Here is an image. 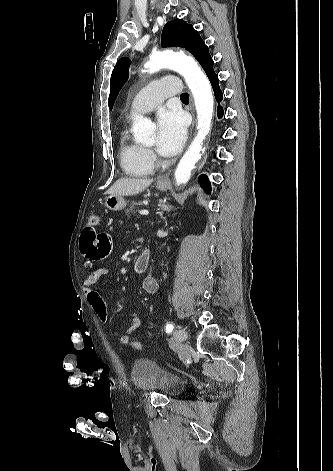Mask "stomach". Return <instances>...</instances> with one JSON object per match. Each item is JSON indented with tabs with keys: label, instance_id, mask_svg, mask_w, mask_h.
<instances>
[{
	"label": "stomach",
	"instance_id": "obj_1",
	"mask_svg": "<svg viewBox=\"0 0 333 471\" xmlns=\"http://www.w3.org/2000/svg\"><path fill=\"white\" fill-rule=\"evenodd\" d=\"M156 187L160 191H166L169 187V184L157 182ZM105 205L111 211H120L126 207L127 201L122 195L110 194L106 198Z\"/></svg>",
	"mask_w": 333,
	"mask_h": 471
}]
</instances>
